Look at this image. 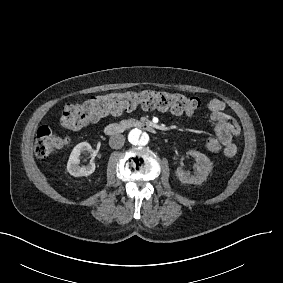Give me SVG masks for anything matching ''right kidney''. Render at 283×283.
I'll use <instances>...</instances> for the list:
<instances>
[{
    "instance_id": "right-kidney-1",
    "label": "right kidney",
    "mask_w": 283,
    "mask_h": 283,
    "mask_svg": "<svg viewBox=\"0 0 283 283\" xmlns=\"http://www.w3.org/2000/svg\"><path fill=\"white\" fill-rule=\"evenodd\" d=\"M92 147L87 142H81L77 144L69 157L67 163V170L73 176H88L92 174L95 170V159L92 158L88 164L80 165L79 157L82 153H90Z\"/></svg>"
}]
</instances>
